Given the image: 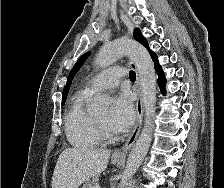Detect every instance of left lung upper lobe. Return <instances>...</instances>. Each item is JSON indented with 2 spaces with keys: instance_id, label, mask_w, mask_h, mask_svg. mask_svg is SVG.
Masks as SVG:
<instances>
[{
  "instance_id": "obj_1",
  "label": "left lung upper lobe",
  "mask_w": 224,
  "mask_h": 188,
  "mask_svg": "<svg viewBox=\"0 0 224 188\" xmlns=\"http://www.w3.org/2000/svg\"><path fill=\"white\" fill-rule=\"evenodd\" d=\"M134 38L149 50L148 43H147L146 39L143 37V35L141 34L139 29H136L135 34H134ZM149 52L152 56V59L154 61H156L157 60L156 55L151 50H149ZM88 55H89V53H86V54L82 55L79 58V60L76 62V64L74 65L73 69L71 70V72L68 76V79H67V84L63 89V95H62V103L63 104L66 100V97H67V94H68V91H69V88H70V85H71V82H72V79H73L74 75L77 73V71L83 65V63L86 60V58L88 57Z\"/></svg>"
}]
</instances>
